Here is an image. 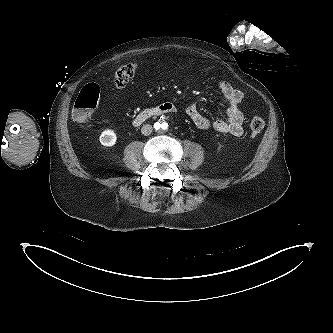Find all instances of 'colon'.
I'll list each match as a JSON object with an SVG mask.
<instances>
[{"label": "colon", "instance_id": "5ec220e1", "mask_svg": "<svg viewBox=\"0 0 333 333\" xmlns=\"http://www.w3.org/2000/svg\"><path fill=\"white\" fill-rule=\"evenodd\" d=\"M138 64L135 62L127 63L121 66L114 75V83L118 88H124L134 76ZM100 99V88L97 84L89 83L85 85L77 96L73 108L72 118L78 124L89 123L94 115ZM264 120L254 115L250 122V132L252 137H258L263 128Z\"/></svg>", "mask_w": 333, "mask_h": 333}]
</instances>
